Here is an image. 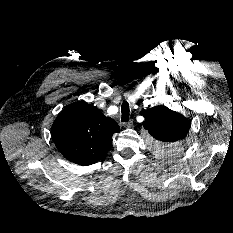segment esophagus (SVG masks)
Here are the masks:
<instances>
[{
  "label": "esophagus",
  "instance_id": "1",
  "mask_svg": "<svg viewBox=\"0 0 233 233\" xmlns=\"http://www.w3.org/2000/svg\"><path fill=\"white\" fill-rule=\"evenodd\" d=\"M133 125V121L129 120L127 123L124 124V127L130 128Z\"/></svg>",
  "mask_w": 233,
  "mask_h": 233
}]
</instances>
